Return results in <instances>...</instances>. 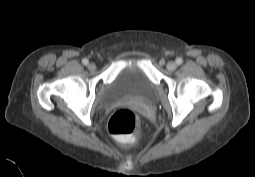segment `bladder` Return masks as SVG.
<instances>
[{
    "mask_svg": "<svg viewBox=\"0 0 255 177\" xmlns=\"http://www.w3.org/2000/svg\"><path fill=\"white\" fill-rule=\"evenodd\" d=\"M129 99L147 104L157 99V87L138 61L120 70L100 95L99 104L109 106Z\"/></svg>",
    "mask_w": 255,
    "mask_h": 177,
    "instance_id": "31cf9c89",
    "label": "bladder"
}]
</instances>
